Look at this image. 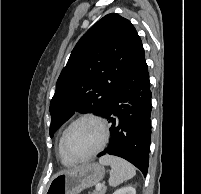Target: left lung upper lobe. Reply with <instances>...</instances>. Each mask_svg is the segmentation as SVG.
I'll return each instance as SVG.
<instances>
[{
  "instance_id": "1",
  "label": "left lung upper lobe",
  "mask_w": 201,
  "mask_h": 194,
  "mask_svg": "<svg viewBox=\"0 0 201 194\" xmlns=\"http://www.w3.org/2000/svg\"><path fill=\"white\" fill-rule=\"evenodd\" d=\"M142 48L126 18L111 13L78 41L63 68L50 102V137L76 111L103 115L114 92Z\"/></svg>"
}]
</instances>
